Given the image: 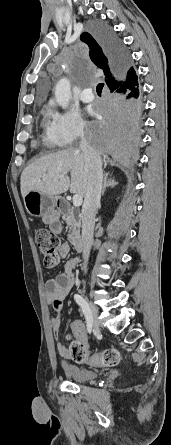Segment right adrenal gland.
<instances>
[{
	"instance_id": "right-adrenal-gland-1",
	"label": "right adrenal gland",
	"mask_w": 171,
	"mask_h": 445,
	"mask_svg": "<svg viewBox=\"0 0 171 445\" xmlns=\"http://www.w3.org/2000/svg\"><path fill=\"white\" fill-rule=\"evenodd\" d=\"M109 175V173H106L104 176L103 188L101 192L102 196L104 195L107 187H115L116 185H118V182H116L114 178L109 177Z\"/></svg>"
}]
</instances>
